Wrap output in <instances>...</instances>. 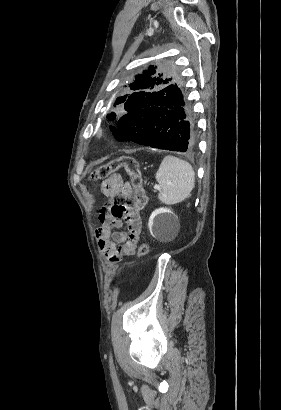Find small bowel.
Listing matches in <instances>:
<instances>
[{"label":"small bowel","mask_w":281,"mask_h":410,"mask_svg":"<svg viewBox=\"0 0 281 410\" xmlns=\"http://www.w3.org/2000/svg\"><path fill=\"white\" fill-rule=\"evenodd\" d=\"M130 190L129 184L124 183L120 176L113 175L102 183L100 192L112 198L119 194H128ZM99 221L96 238L110 263H116L124 256L134 255L142 229L140 215L135 213L116 217L104 206L100 209ZM124 224L128 229L127 234L114 232V229H120Z\"/></svg>","instance_id":"obj_1"}]
</instances>
